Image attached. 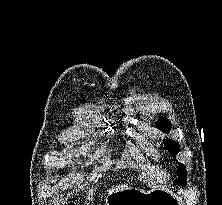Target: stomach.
I'll return each mask as SVG.
<instances>
[{
  "instance_id": "obj_1",
  "label": "stomach",
  "mask_w": 222,
  "mask_h": 205,
  "mask_svg": "<svg viewBox=\"0 0 222 205\" xmlns=\"http://www.w3.org/2000/svg\"><path fill=\"white\" fill-rule=\"evenodd\" d=\"M104 205H182V202L168 190L152 189L146 192L126 187L110 192Z\"/></svg>"
}]
</instances>
